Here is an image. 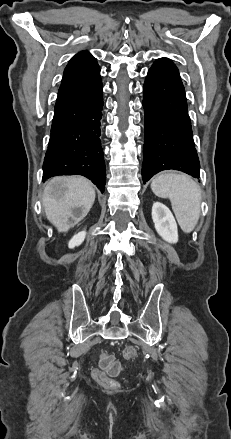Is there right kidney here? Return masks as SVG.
<instances>
[{"label": "right kidney", "mask_w": 231, "mask_h": 439, "mask_svg": "<svg viewBox=\"0 0 231 439\" xmlns=\"http://www.w3.org/2000/svg\"><path fill=\"white\" fill-rule=\"evenodd\" d=\"M86 236V232L85 231H81L79 233H77L76 235L73 236V238L69 241V248H74L76 246H79L82 244V242L84 241Z\"/></svg>", "instance_id": "ca27d5eb"}]
</instances>
